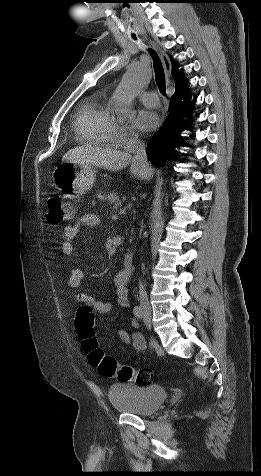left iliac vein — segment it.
Returning <instances> with one entry per match:
<instances>
[{"label": "left iliac vein", "instance_id": "left-iliac-vein-1", "mask_svg": "<svg viewBox=\"0 0 261 476\" xmlns=\"http://www.w3.org/2000/svg\"><path fill=\"white\" fill-rule=\"evenodd\" d=\"M144 322H145V324H146L147 327H150V323H149V321H148L146 318H145V321H144Z\"/></svg>", "mask_w": 261, "mask_h": 476}]
</instances>
